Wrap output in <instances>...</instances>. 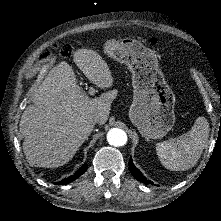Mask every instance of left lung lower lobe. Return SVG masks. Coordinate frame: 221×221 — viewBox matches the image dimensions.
<instances>
[{
  "label": "left lung lower lobe",
  "mask_w": 221,
  "mask_h": 221,
  "mask_svg": "<svg viewBox=\"0 0 221 221\" xmlns=\"http://www.w3.org/2000/svg\"><path fill=\"white\" fill-rule=\"evenodd\" d=\"M129 170L131 172V174L139 181L145 183V184H149L150 181H148L143 174L134 166V164L132 163V159L130 158L129 161ZM152 184V183H151Z\"/></svg>",
  "instance_id": "1"
}]
</instances>
